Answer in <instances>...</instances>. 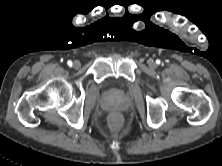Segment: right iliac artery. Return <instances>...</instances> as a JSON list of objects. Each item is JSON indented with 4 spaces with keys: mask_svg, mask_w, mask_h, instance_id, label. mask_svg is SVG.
I'll list each match as a JSON object with an SVG mask.
<instances>
[{
    "mask_svg": "<svg viewBox=\"0 0 222 166\" xmlns=\"http://www.w3.org/2000/svg\"><path fill=\"white\" fill-rule=\"evenodd\" d=\"M67 64H68L69 66H72V61L69 60V61L67 62Z\"/></svg>",
    "mask_w": 222,
    "mask_h": 166,
    "instance_id": "obj_1",
    "label": "right iliac artery"
}]
</instances>
